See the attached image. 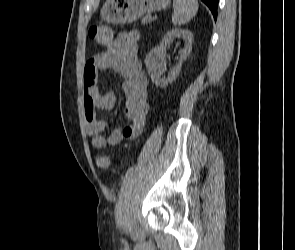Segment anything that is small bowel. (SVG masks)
Here are the masks:
<instances>
[{"label": "small bowel", "instance_id": "1", "mask_svg": "<svg viewBox=\"0 0 295 250\" xmlns=\"http://www.w3.org/2000/svg\"><path fill=\"white\" fill-rule=\"evenodd\" d=\"M139 33L125 31L119 33L108 49L88 60L83 74L84 108L87 133L96 149L113 146L123 139H136L142 132L149 111L148 79L141 69L137 57ZM113 69L123 78L126 96L125 115L129 123L122 129L113 130L108 136L102 135L107 126L105 119L99 118L98 110L114 107L116 96L112 92L101 93L98 89L99 73Z\"/></svg>", "mask_w": 295, "mask_h": 250}]
</instances>
